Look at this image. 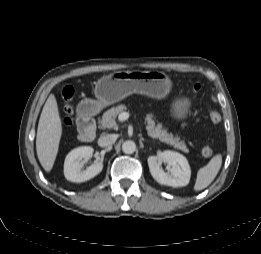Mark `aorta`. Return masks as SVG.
Wrapping results in <instances>:
<instances>
[{
    "instance_id": "762f6f07",
    "label": "aorta",
    "mask_w": 261,
    "mask_h": 254,
    "mask_svg": "<svg viewBox=\"0 0 261 254\" xmlns=\"http://www.w3.org/2000/svg\"><path fill=\"white\" fill-rule=\"evenodd\" d=\"M135 150H136V144L131 140H127L122 144V151L125 154H132L135 152Z\"/></svg>"
}]
</instances>
